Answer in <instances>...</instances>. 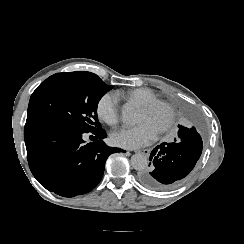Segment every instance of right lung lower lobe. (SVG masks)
Returning <instances> with one entry per match:
<instances>
[{"mask_svg":"<svg viewBox=\"0 0 244 244\" xmlns=\"http://www.w3.org/2000/svg\"><path fill=\"white\" fill-rule=\"evenodd\" d=\"M86 133L94 142L85 144ZM105 137L102 128L83 132L47 121H26L24 139L30 170L43 187L58 195L85 194L100 182L108 156L123 151L106 146Z\"/></svg>","mask_w":244,"mask_h":244,"instance_id":"1","label":"right lung lower lobe"}]
</instances>
